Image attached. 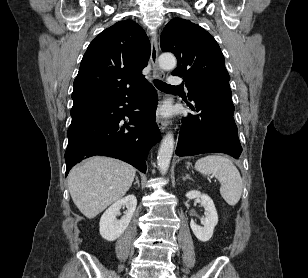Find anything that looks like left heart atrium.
Listing matches in <instances>:
<instances>
[{
	"label": "left heart atrium",
	"mask_w": 308,
	"mask_h": 278,
	"mask_svg": "<svg viewBox=\"0 0 308 278\" xmlns=\"http://www.w3.org/2000/svg\"><path fill=\"white\" fill-rule=\"evenodd\" d=\"M165 113H166V111H165V110H163V111H162V114H165Z\"/></svg>",
	"instance_id": "39dd6f15"
}]
</instances>
